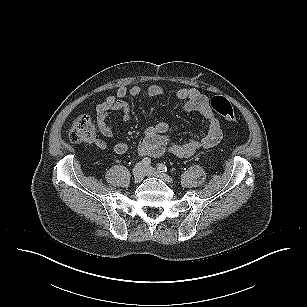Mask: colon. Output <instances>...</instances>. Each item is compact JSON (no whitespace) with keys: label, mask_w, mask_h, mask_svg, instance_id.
I'll use <instances>...</instances> for the list:
<instances>
[{"label":"colon","mask_w":307,"mask_h":307,"mask_svg":"<svg viewBox=\"0 0 307 307\" xmlns=\"http://www.w3.org/2000/svg\"><path fill=\"white\" fill-rule=\"evenodd\" d=\"M210 107L213 111L221 115L225 120L237 123L238 118L231 103L222 96H214L210 100ZM69 138L73 142H95L97 140V130L90 117L80 115L76 117L69 130Z\"/></svg>","instance_id":"5ec220e1"}]
</instances>
